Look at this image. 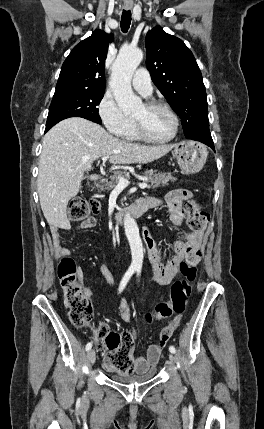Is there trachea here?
<instances>
[{
    "mask_svg": "<svg viewBox=\"0 0 264 429\" xmlns=\"http://www.w3.org/2000/svg\"><path fill=\"white\" fill-rule=\"evenodd\" d=\"M131 24V11L130 10H123L122 16H121V30L122 32L126 33L130 27Z\"/></svg>",
    "mask_w": 264,
    "mask_h": 429,
    "instance_id": "1",
    "label": "trachea"
}]
</instances>
